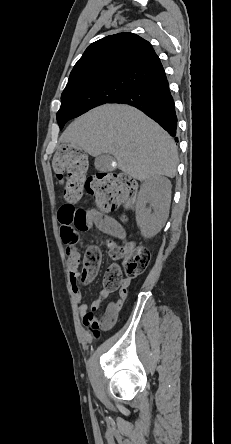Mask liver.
<instances>
[{"instance_id":"obj_1","label":"liver","mask_w":231,"mask_h":444,"mask_svg":"<svg viewBox=\"0 0 231 444\" xmlns=\"http://www.w3.org/2000/svg\"><path fill=\"white\" fill-rule=\"evenodd\" d=\"M60 141L93 157L112 154L118 168L139 181L176 175L174 140L143 112L128 105L106 104L90 110L68 126Z\"/></svg>"}]
</instances>
